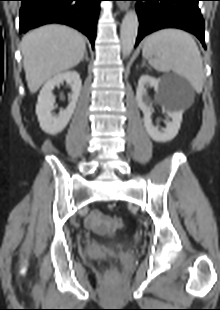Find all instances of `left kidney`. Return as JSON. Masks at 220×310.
I'll list each match as a JSON object with an SVG mask.
<instances>
[{"instance_id":"1","label":"left kidney","mask_w":220,"mask_h":310,"mask_svg":"<svg viewBox=\"0 0 220 310\" xmlns=\"http://www.w3.org/2000/svg\"><path fill=\"white\" fill-rule=\"evenodd\" d=\"M148 86L154 88L156 92V100L165 105L166 113L172 119L171 122L166 124V128L162 129L161 131H159L158 128L152 124V108L151 103L147 98L146 91V87ZM170 89L171 86L167 82H163L160 79H155L148 75L141 76L138 81L136 100L144 115V127L149 136L156 142H168L174 139L178 134L182 122V114L184 110L182 108H172L166 102V98L170 93Z\"/></svg>"}]
</instances>
